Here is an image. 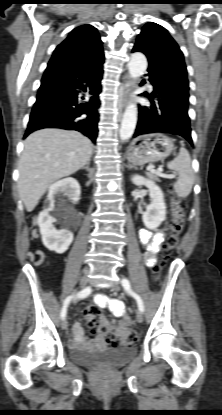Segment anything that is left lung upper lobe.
<instances>
[{"instance_id": "obj_1", "label": "left lung upper lobe", "mask_w": 222, "mask_h": 415, "mask_svg": "<svg viewBox=\"0 0 222 415\" xmlns=\"http://www.w3.org/2000/svg\"><path fill=\"white\" fill-rule=\"evenodd\" d=\"M136 48L143 52L149 62L171 60L184 63L183 54L168 31L156 23H147L137 37Z\"/></svg>"}]
</instances>
